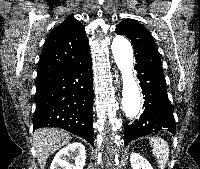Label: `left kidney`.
Returning a JSON list of instances; mask_svg holds the SVG:
<instances>
[{"label":"left kidney","instance_id":"5707ae66","mask_svg":"<svg viewBox=\"0 0 200 169\" xmlns=\"http://www.w3.org/2000/svg\"><path fill=\"white\" fill-rule=\"evenodd\" d=\"M130 163L133 169H153L151 164L137 153L131 154Z\"/></svg>","mask_w":200,"mask_h":169}]
</instances>
